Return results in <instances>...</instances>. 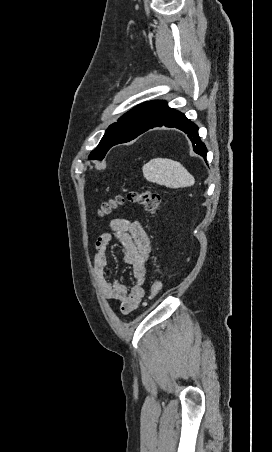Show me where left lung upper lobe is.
Returning <instances> with one entry per match:
<instances>
[{
    "mask_svg": "<svg viewBox=\"0 0 272 452\" xmlns=\"http://www.w3.org/2000/svg\"><path fill=\"white\" fill-rule=\"evenodd\" d=\"M166 105L167 103L161 100L150 101L123 115L118 122L109 126L99 145L90 153L89 159L102 160L117 140L132 138L144 132Z\"/></svg>",
    "mask_w": 272,
    "mask_h": 452,
    "instance_id": "1",
    "label": "left lung upper lobe"
}]
</instances>
